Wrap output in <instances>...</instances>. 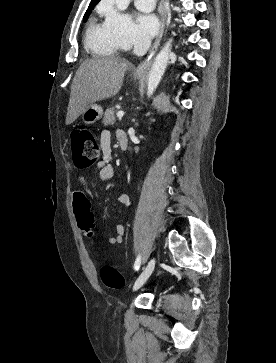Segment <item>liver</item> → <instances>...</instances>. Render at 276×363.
<instances>
[{
	"label": "liver",
	"instance_id": "6515ba94",
	"mask_svg": "<svg viewBox=\"0 0 276 363\" xmlns=\"http://www.w3.org/2000/svg\"><path fill=\"white\" fill-rule=\"evenodd\" d=\"M128 67L129 63L120 58L83 61L71 84L66 125L73 123L89 105L115 96Z\"/></svg>",
	"mask_w": 276,
	"mask_h": 363
}]
</instances>
